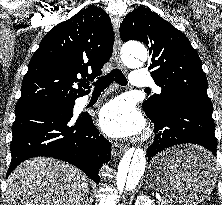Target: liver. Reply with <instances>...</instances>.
<instances>
[{"mask_svg": "<svg viewBox=\"0 0 222 205\" xmlns=\"http://www.w3.org/2000/svg\"><path fill=\"white\" fill-rule=\"evenodd\" d=\"M88 178L65 162L39 157L18 165L7 179L5 205H83Z\"/></svg>", "mask_w": 222, "mask_h": 205, "instance_id": "6515ba94", "label": "liver"}]
</instances>
